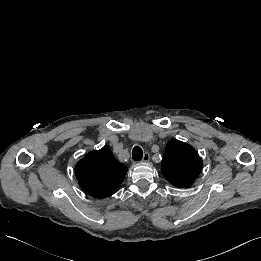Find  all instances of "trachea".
<instances>
[{"mask_svg": "<svg viewBox=\"0 0 261 261\" xmlns=\"http://www.w3.org/2000/svg\"><path fill=\"white\" fill-rule=\"evenodd\" d=\"M132 158L134 161H139L143 158V150L139 146H135L132 151Z\"/></svg>", "mask_w": 261, "mask_h": 261, "instance_id": "1", "label": "trachea"}]
</instances>
